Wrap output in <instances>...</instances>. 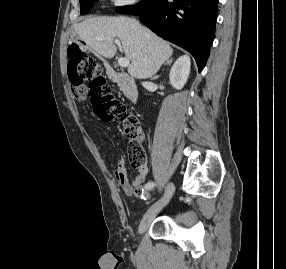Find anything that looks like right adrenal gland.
<instances>
[{
  "mask_svg": "<svg viewBox=\"0 0 286 269\" xmlns=\"http://www.w3.org/2000/svg\"><path fill=\"white\" fill-rule=\"evenodd\" d=\"M171 62H172V59H169L166 61V63L164 65H170Z\"/></svg>",
  "mask_w": 286,
  "mask_h": 269,
  "instance_id": "right-adrenal-gland-1",
  "label": "right adrenal gland"
}]
</instances>
